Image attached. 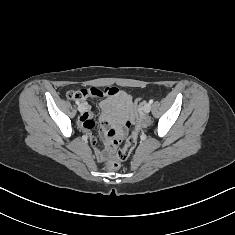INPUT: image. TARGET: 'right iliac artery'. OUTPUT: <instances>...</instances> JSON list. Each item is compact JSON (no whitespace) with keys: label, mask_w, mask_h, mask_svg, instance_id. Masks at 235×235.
Returning a JSON list of instances; mask_svg holds the SVG:
<instances>
[{"label":"right iliac artery","mask_w":235,"mask_h":235,"mask_svg":"<svg viewBox=\"0 0 235 235\" xmlns=\"http://www.w3.org/2000/svg\"><path fill=\"white\" fill-rule=\"evenodd\" d=\"M76 104L79 105V101L78 100L76 101Z\"/></svg>","instance_id":"1"}]
</instances>
